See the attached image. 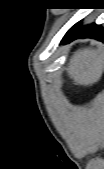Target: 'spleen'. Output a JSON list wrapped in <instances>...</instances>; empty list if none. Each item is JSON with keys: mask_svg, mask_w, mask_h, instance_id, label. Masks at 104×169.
<instances>
[{"mask_svg": "<svg viewBox=\"0 0 104 169\" xmlns=\"http://www.w3.org/2000/svg\"><path fill=\"white\" fill-rule=\"evenodd\" d=\"M103 71V60L95 49H80L70 59L68 75L76 85H92L97 82Z\"/></svg>", "mask_w": 104, "mask_h": 169, "instance_id": "spleen-1", "label": "spleen"}]
</instances>
